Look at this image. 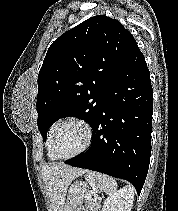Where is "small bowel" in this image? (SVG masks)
Listing matches in <instances>:
<instances>
[{
  "label": "small bowel",
  "instance_id": "small-bowel-1",
  "mask_svg": "<svg viewBox=\"0 0 178 211\" xmlns=\"http://www.w3.org/2000/svg\"><path fill=\"white\" fill-rule=\"evenodd\" d=\"M78 211H100V205L95 201L89 202L86 206L80 208Z\"/></svg>",
  "mask_w": 178,
  "mask_h": 211
}]
</instances>
